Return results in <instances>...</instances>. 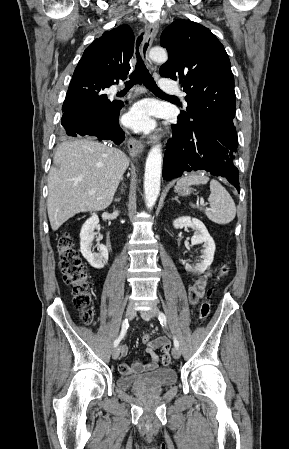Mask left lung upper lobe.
Masks as SVG:
<instances>
[{
    "mask_svg": "<svg viewBox=\"0 0 289 449\" xmlns=\"http://www.w3.org/2000/svg\"><path fill=\"white\" fill-rule=\"evenodd\" d=\"M169 53L160 67L162 77L180 79L188 107L179 119L218 122L235 130L234 76L229 57L217 37L206 27L178 19L161 35Z\"/></svg>",
    "mask_w": 289,
    "mask_h": 449,
    "instance_id": "obj_1",
    "label": "left lung upper lobe"
}]
</instances>
